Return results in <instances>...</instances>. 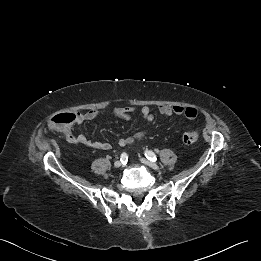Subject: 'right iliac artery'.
<instances>
[{"instance_id": "obj_1", "label": "right iliac artery", "mask_w": 261, "mask_h": 261, "mask_svg": "<svg viewBox=\"0 0 261 261\" xmlns=\"http://www.w3.org/2000/svg\"><path fill=\"white\" fill-rule=\"evenodd\" d=\"M120 161L122 162V164L127 163V161H128V156H127V154H126L125 152H123V153L121 154Z\"/></svg>"}]
</instances>
